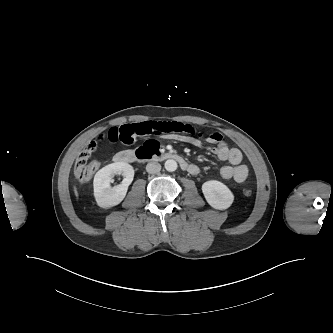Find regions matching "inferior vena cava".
<instances>
[{
	"instance_id": "1",
	"label": "inferior vena cava",
	"mask_w": 333,
	"mask_h": 333,
	"mask_svg": "<svg viewBox=\"0 0 333 333\" xmlns=\"http://www.w3.org/2000/svg\"><path fill=\"white\" fill-rule=\"evenodd\" d=\"M160 170H161V165L157 162H151L146 166V171L149 174H157L160 172Z\"/></svg>"
}]
</instances>
